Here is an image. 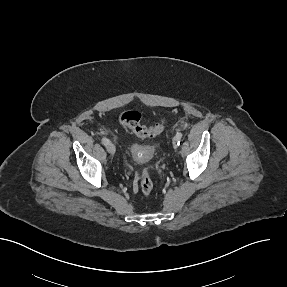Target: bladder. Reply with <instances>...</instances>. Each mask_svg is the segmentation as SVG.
I'll return each instance as SVG.
<instances>
[{"mask_svg":"<svg viewBox=\"0 0 287 287\" xmlns=\"http://www.w3.org/2000/svg\"><path fill=\"white\" fill-rule=\"evenodd\" d=\"M130 152L132 159L139 164L148 163L154 156V149L152 147L133 145Z\"/></svg>","mask_w":287,"mask_h":287,"instance_id":"obj_1","label":"bladder"}]
</instances>
